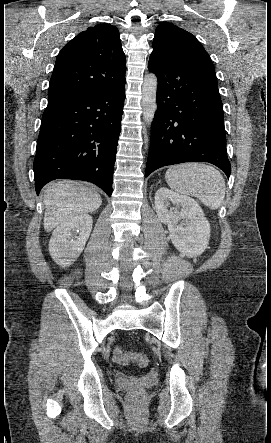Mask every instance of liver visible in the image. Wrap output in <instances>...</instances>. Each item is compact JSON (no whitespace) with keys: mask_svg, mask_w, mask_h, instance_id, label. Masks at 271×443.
Returning a JSON list of instances; mask_svg holds the SVG:
<instances>
[{"mask_svg":"<svg viewBox=\"0 0 271 443\" xmlns=\"http://www.w3.org/2000/svg\"><path fill=\"white\" fill-rule=\"evenodd\" d=\"M45 214L43 227L51 231L56 225L77 214L95 212L102 204L101 196L83 186L82 182H52L44 194Z\"/></svg>","mask_w":271,"mask_h":443,"instance_id":"liver-1","label":"liver"}]
</instances>
